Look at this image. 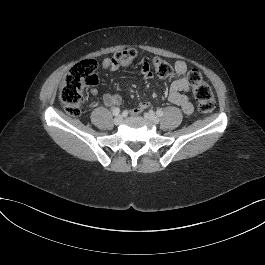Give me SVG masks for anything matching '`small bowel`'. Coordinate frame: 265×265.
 <instances>
[{
    "label": "small bowel",
    "instance_id": "small-bowel-1",
    "mask_svg": "<svg viewBox=\"0 0 265 265\" xmlns=\"http://www.w3.org/2000/svg\"><path fill=\"white\" fill-rule=\"evenodd\" d=\"M102 67L110 71H115L119 68V66L116 65L110 58L104 59ZM174 69L176 77L170 84L168 98L171 103L179 106L184 114L191 115L194 111V106L186 95V93L190 90L189 83L185 78V74L188 70L187 64L186 62L179 60L175 63ZM140 72L145 80H149L153 77L152 70L147 62L142 63ZM88 94L90 96H96L98 94V90L92 87L89 89ZM121 101L122 97L117 93H107L103 96V102L108 107L117 106L121 103ZM148 106L149 104L147 102H140L135 108L131 109L130 112L133 115H137L147 109Z\"/></svg>",
    "mask_w": 265,
    "mask_h": 265
}]
</instances>
